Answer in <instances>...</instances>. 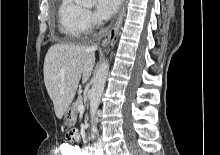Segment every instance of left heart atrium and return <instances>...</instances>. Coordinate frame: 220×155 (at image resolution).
<instances>
[{"mask_svg":"<svg viewBox=\"0 0 220 155\" xmlns=\"http://www.w3.org/2000/svg\"><path fill=\"white\" fill-rule=\"evenodd\" d=\"M121 0H97L96 7L103 17H111L116 13L120 6Z\"/></svg>","mask_w":220,"mask_h":155,"instance_id":"left-heart-atrium-1","label":"left heart atrium"}]
</instances>
